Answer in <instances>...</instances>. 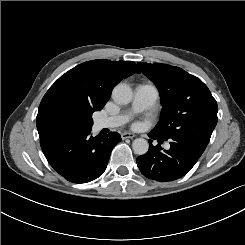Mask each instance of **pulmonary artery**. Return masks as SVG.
Here are the masks:
<instances>
[{
    "instance_id": "1",
    "label": "pulmonary artery",
    "mask_w": 245,
    "mask_h": 245,
    "mask_svg": "<svg viewBox=\"0 0 245 245\" xmlns=\"http://www.w3.org/2000/svg\"><path fill=\"white\" fill-rule=\"evenodd\" d=\"M135 98L132 102L133 112H141L149 109L158 99L159 92L152 83H141L135 87ZM131 114H114L97 118L94 121V130L99 131L104 128H113L126 123ZM163 148H169V143H163Z\"/></svg>"
}]
</instances>
